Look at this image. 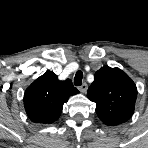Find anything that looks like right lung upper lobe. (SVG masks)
<instances>
[{"mask_svg":"<svg viewBox=\"0 0 148 148\" xmlns=\"http://www.w3.org/2000/svg\"><path fill=\"white\" fill-rule=\"evenodd\" d=\"M77 93L70 79L60 81L54 72L47 71L26 89L24 107L33 122L53 123L59 118L63 104Z\"/></svg>","mask_w":148,"mask_h":148,"instance_id":"1","label":"right lung upper lobe"}]
</instances>
